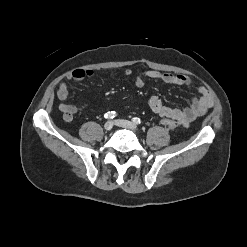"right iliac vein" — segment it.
<instances>
[{"label":"right iliac vein","instance_id":"obj_1","mask_svg":"<svg viewBox=\"0 0 247 247\" xmlns=\"http://www.w3.org/2000/svg\"><path fill=\"white\" fill-rule=\"evenodd\" d=\"M112 128H113V122H112V121H107V122L104 124V129H105L106 131H110Z\"/></svg>","mask_w":247,"mask_h":247}]
</instances>
